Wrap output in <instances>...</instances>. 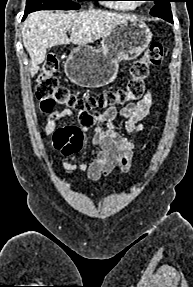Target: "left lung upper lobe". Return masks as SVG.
<instances>
[{"label":"left lung upper lobe","mask_w":193,"mask_h":287,"mask_svg":"<svg viewBox=\"0 0 193 287\" xmlns=\"http://www.w3.org/2000/svg\"><path fill=\"white\" fill-rule=\"evenodd\" d=\"M155 6L151 9L150 14L162 18L166 21L172 22V13L170 2L172 0H152Z\"/></svg>","instance_id":"1"}]
</instances>
